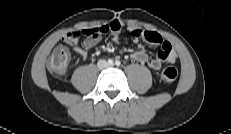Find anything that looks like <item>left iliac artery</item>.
<instances>
[{
	"mask_svg": "<svg viewBox=\"0 0 231 134\" xmlns=\"http://www.w3.org/2000/svg\"><path fill=\"white\" fill-rule=\"evenodd\" d=\"M115 64H116L117 66H120L121 62H120L119 60H117V61L115 62Z\"/></svg>",
	"mask_w": 231,
	"mask_h": 134,
	"instance_id": "left-iliac-artery-1",
	"label": "left iliac artery"
}]
</instances>
